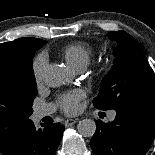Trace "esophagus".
Masks as SVG:
<instances>
[{"mask_svg":"<svg viewBox=\"0 0 155 155\" xmlns=\"http://www.w3.org/2000/svg\"><path fill=\"white\" fill-rule=\"evenodd\" d=\"M77 121L75 119H67L65 120L64 124L65 126L69 127V126H72L76 123Z\"/></svg>","mask_w":155,"mask_h":155,"instance_id":"obj_1","label":"esophagus"}]
</instances>
